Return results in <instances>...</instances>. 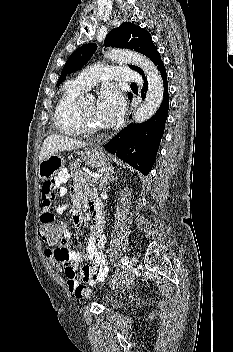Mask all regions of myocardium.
Segmentation results:
<instances>
[{
	"mask_svg": "<svg viewBox=\"0 0 233 352\" xmlns=\"http://www.w3.org/2000/svg\"><path fill=\"white\" fill-rule=\"evenodd\" d=\"M78 119L83 132L93 134L101 131L100 127L94 126L88 121L82 105L78 106Z\"/></svg>",
	"mask_w": 233,
	"mask_h": 352,
	"instance_id": "f54148a6",
	"label": "myocardium"
}]
</instances>
